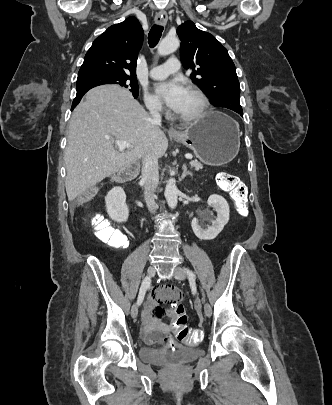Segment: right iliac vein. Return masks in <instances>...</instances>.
Wrapping results in <instances>:
<instances>
[{
	"label": "right iliac vein",
	"mask_w": 332,
	"mask_h": 405,
	"mask_svg": "<svg viewBox=\"0 0 332 405\" xmlns=\"http://www.w3.org/2000/svg\"><path fill=\"white\" fill-rule=\"evenodd\" d=\"M155 272H156L155 267H154V266H150V267L148 268V270H147V277L151 279V278L154 276ZM137 315H138V305H137V304H134V305L132 306V308H131V316H132L133 318H136Z\"/></svg>",
	"instance_id": "1"
}]
</instances>
